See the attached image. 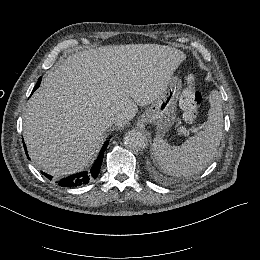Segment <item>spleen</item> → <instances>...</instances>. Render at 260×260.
<instances>
[{
	"label": "spleen",
	"mask_w": 260,
	"mask_h": 260,
	"mask_svg": "<svg viewBox=\"0 0 260 260\" xmlns=\"http://www.w3.org/2000/svg\"><path fill=\"white\" fill-rule=\"evenodd\" d=\"M209 103L204 129L189 137L181 146H171L160 137L154 138V158L166 174L188 177L205 169L213 159L223 129L222 98L218 91H211Z\"/></svg>",
	"instance_id": "1"
}]
</instances>
